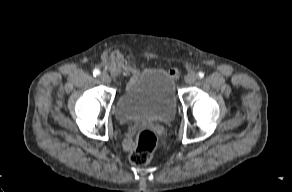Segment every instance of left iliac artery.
<instances>
[{"mask_svg": "<svg viewBox=\"0 0 292 192\" xmlns=\"http://www.w3.org/2000/svg\"><path fill=\"white\" fill-rule=\"evenodd\" d=\"M198 77L201 79V78H203L204 77V73L203 72H199L198 73Z\"/></svg>", "mask_w": 292, "mask_h": 192, "instance_id": "left-iliac-artery-1", "label": "left iliac artery"}]
</instances>
